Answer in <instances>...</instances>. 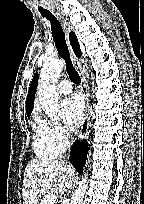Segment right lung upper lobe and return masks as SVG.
I'll list each match as a JSON object with an SVG mask.
<instances>
[{
	"label": "right lung upper lobe",
	"mask_w": 144,
	"mask_h": 204,
	"mask_svg": "<svg viewBox=\"0 0 144 204\" xmlns=\"http://www.w3.org/2000/svg\"><path fill=\"white\" fill-rule=\"evenodd\" d=\"M69 39H70L71 46H72L76 56L80 57L81 51H80V48H79L77 38H76V36H75V34L73 32L70 33ZM37 82H38V73H36L34 75L33 80L31 82V85H30V88H29L27 101H26L27 116H30V114H31V112L33 110V107H34V95H35V92H36Z\"/></svg>",
	"instance_id": "obj_1"
}]
</instances>
